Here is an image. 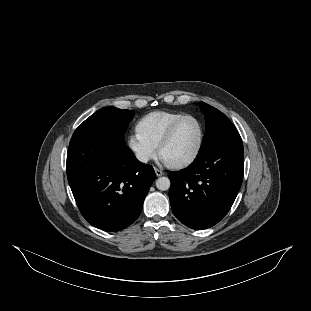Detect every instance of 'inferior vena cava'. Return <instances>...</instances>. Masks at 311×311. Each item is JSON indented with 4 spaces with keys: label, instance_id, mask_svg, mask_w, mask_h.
Listing matches in <instances>:
<instances>
[{
    "label": "inferior vena cava",
    "instance_id": "1",
    "mask_svg": "<svg viewBox=\"0 0 311 311\" xmlns=\"http://www.w3.org/2000/svg\"><path fill=\"white\" fill-rule=\"evenodd\" d=\"M136 158L143 163H147L149 161V157L145 154L137 153Z\"/></svg>",
    "mask_w": 311,
    "mask_h": 311
}]
</instances>
